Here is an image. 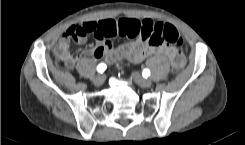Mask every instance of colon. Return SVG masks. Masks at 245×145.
Masks as SVG:
<instances>
[{
	"mask_svg": "<svg viewBox=\"0 0 245 145\" xmlns=\"http://www.w3.org/2000/svg\"><path fill=\"white\" fill-rule=\"evenodd\" d=\"M92 27L85 23H76L71 25L63 35L60 43L64 44L71 39L79 40L92 34ZM121 35L127 39H134L140 36L143 40L154 46H169L180 47L183 44V37L173 25L162 22H138L121 23L118 31H111L109 38H114ZM65 58V51L61 50L56 53V60L60 62ZM174 69H179L182 66V61L175 58L172 62Z\"/></svg>",
	"mask_w": 245,
	"mask_h": 145,
	"instance_id": "5ec220e1",
	"label": "colon"
}]
</instances>
